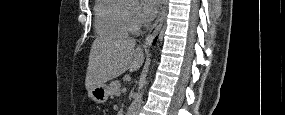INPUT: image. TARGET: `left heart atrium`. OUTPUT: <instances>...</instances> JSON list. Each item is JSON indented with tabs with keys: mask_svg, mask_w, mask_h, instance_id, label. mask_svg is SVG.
Returning a JSON list of instances; mask_svg holds the SVG:
<instances>
[{
	"mask_svg": "<svg viewBox=\"0 0 285 115\" xmlns=\"http://www.w3.org/2000/svg\"><path fill=\"white\" fill-rule=\"evenodd\" d=\"M141 12L144 19H151L157 12L160 1L159 0H141Z\"/></svg>",
	"mask_w": 285,
	"mask_h": 115,
	"instance_id": "39dd6f15",
	"label": "left heart atrium"
}]
</instances>
